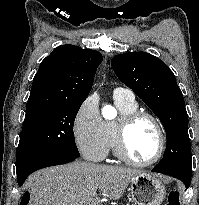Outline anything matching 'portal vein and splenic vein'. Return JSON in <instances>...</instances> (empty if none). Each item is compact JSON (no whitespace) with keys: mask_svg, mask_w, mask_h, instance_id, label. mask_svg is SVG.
<instances>
[{"mask_svg":"<svg viewBox=\"0 0 199 205\" xmlns=\"http://www.w3.org/2000/svg\"><path fill=\"white\" fill-rule=\"evenodd\" d=\"M91 196H92V197H96V196H97V193H93Z\"/></svg>","mask_w":199,"mask_h":205,"instance_id":"portal-vein-and-splenic-vein-1","label":"portal vein and splenic vein"}]
</instances>
